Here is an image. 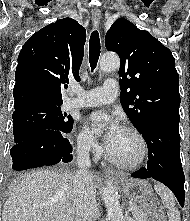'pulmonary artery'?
Segmentation results:
<instances>
[{"instance_id": "1", "label": "pulmonary artery", "mask_w": 190, "mask_h": 221, "mask_svg": "<svg viewBox=\"0 0 190 221\" xmlns=\"http://www.w3.org/2000/svg\"><path fill=\"white\" fill-rule=\"evenodd\" d=\"M75 97L67 100L68 108H86L112 103L118 94V83L114 79H107L101 87L84 91L77 86L72 87Z\"/></svg>"}]
</instances>
